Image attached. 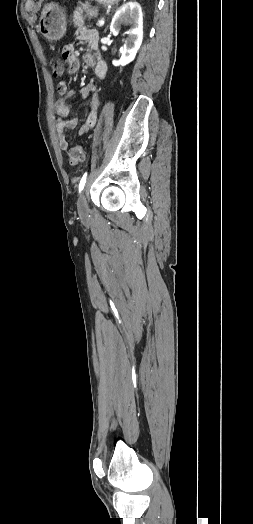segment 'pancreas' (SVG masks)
<instances>
[{
  "label": "pancreas",
  "mask_w": 253,
  "mask_h": 524,
  "mask_svg": "<svg viewBox=\"0 0 253 524\" xmlns=\"http://www.w3.org/2000/svg\"><path fill=\"white\" fill-rule=\"evenodd\" d=\"M74 18L84 19L85 17H96L98 16V8L92 7L88 3H80V5L74 11Z\"/></svg>",
  "instance_id": "obj_1"
}]
</instances>
